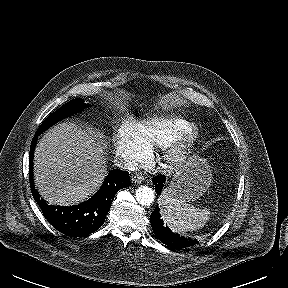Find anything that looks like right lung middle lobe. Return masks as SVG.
<instances>
[{
  "label": "right lung middle lobe",
  "mask_w": 288,
  "mask_h": 288,
  "mask_svg": "<svg viewBox=\"0 0 288 288\" xmlns=\"http://www.w3.org/2000/svg\"><path fill=\"white\" fill-rule=\"evenodd\" d=\"M85 107L86 105L83 99H74L67 102L65 105H63L47 117V119L38 128L37 133H43L45 130H47L49 127H51L58 121L83 110Z\"/></svg>",
  "instance_id": "dd1d6c3e"
}]
</instances>
